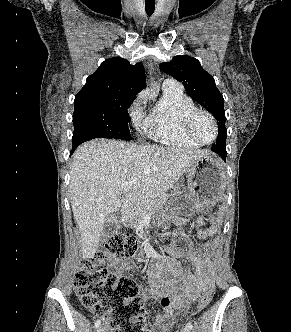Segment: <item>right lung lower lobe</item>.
Segmentation results:
<instances>
[{"mask_svg": "<svg viewBox=\"0 0 291 332\" xmlns=\"http://www.w3.org/2000/svg\"><path fill=\"white\" fill-rule=\"evenodd\" d=\"M73 137H74V135H73ZM77 146H78L77 143L73 142V149H72V152L76 149ZM72 152H71V153H72Z\"/></svg>", "mask_w": 291, "mask_h": 332, "instance_id": "right-lung-lower-lobe-1", "label": "right lung lower lobe"}]
</instances>
